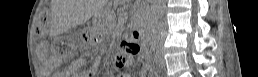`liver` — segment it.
Here are the masks:
<instances>
[{
	"label": "liver",
	"mask_w": 258,
	"mask_h": 77,
	"mask_svg": "<svg viewBox=\"0 0 258 77\" xmlns=\"http://www.w3.org/2000/svg\"><path fill=\"white\" fill-rule=\"evenodd\" d=\"M52 12L65 23L73 26L75 25L77 16L80 13V7L75 0H57L54 1Z\"/></svg>",
	"instance_id": "liver-1"
}]
</instances>
